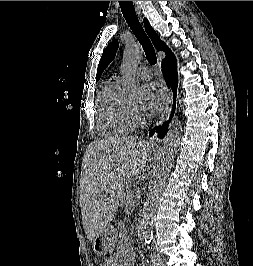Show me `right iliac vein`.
<instances>
[{"mask_svg": "<svg viewBox=\"0 0 253 266\" xmlns=\"http://www.w3.org/2000/svg\"><path fill=\"white\" fill-rule=\"evenodd\" d=\"M157 260H158V263L161 265V266H164V260L162 257H157Z\"/></svg>", "mask_w": 253, "mask_h": 266, "instance_id": "1", "label": "right iliac vein"}]
</instances>
